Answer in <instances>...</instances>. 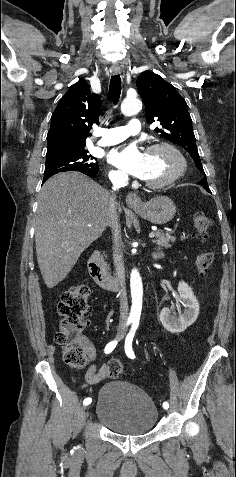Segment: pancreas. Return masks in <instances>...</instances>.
I'll return each mask as SVG.
<instances>
[{
  "label": "pancreas",
  "instance_id": "obj_1",
  "mask_svg": "<svg viewBox=\"0 0 236 477\" xmlns=\"http://www.w3.org/2000/svg\"><path fill=\"white\" fill-rule=\"evenodd\" d=\"M155 236H156V240L154 242L162 248L171 247L170 242L173 243L176 240L174 236H171L168 233H164L163 231H156Z\"/></svg>",
  "mask_w": 236,
  "mask_h": 477
}]
</instances>
